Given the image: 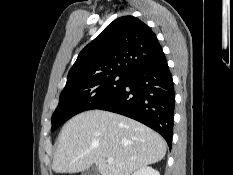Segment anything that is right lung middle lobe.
<instances>
[{
  "label": "right lung middle lobe",
  "mask_w": 233,
  "mask_h": 175,
  "mask_svg": "<svg viewBox=\"0 0 233 175\" xmlns=\"http://www.w3.org/2000/svg\"><path fill=\"white\" fill-rule=\"evenodd\" d=\"M128 77L129 74L110 72L66 83L52 115L51 131L74 115L110 101L125 86Z\"/></svg>",
  "instance_id": "1"
}]
</instances>
